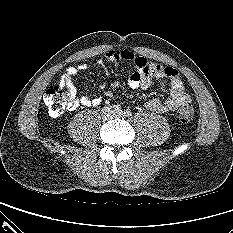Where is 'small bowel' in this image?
<instances>
[{
	"label": "small bowel",
	"instance_id": "c3829d8e",
	"mask_svg": "<svg viewBox=\"0 0 233 233\" xmlns=\"http://www.w3.org/2000/svg\"><path fill=\"white\" fill-rule=\"evenodd\" d=\"M105 58L113 64L127 61L134 65V71L128 78V86L131 89L148 88L159 80H167L169 82L170 93L168 98L164 100L150 99L145 103L146 109L156 113H167L175 111L185 103H190V96L185 92L183 82L176 69L151 62L145 57L127 49L110 50L105 54ZM86 69V64L69 67L60 79V85L66 88L72 97L68 105L70 109H77L79 106L96 107L102 102L100 96L77 97L78 90L74 77Z\"/></svg>",
	"mask_w": 233,
	"mask_h": 233
}]
</instances>
